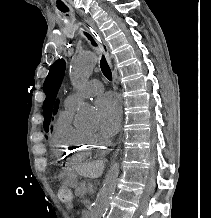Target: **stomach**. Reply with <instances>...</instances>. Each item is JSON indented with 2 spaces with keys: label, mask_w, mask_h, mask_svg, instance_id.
Here are the masks:
<instances>
[{
  "label": "stomach",
  "mask_w": 211,
  "mask_h": 218,
  "mask_svg": "<svg viewBox=\"0 0 211 218\" xmlns=\"http://www.w3.org/2000/svg\"><path fill=\"white\" fill-rule=\"evenodd\" d=\"M64 183L65 185L69 186V187H77L78 186V179H77V175L76 174H67L64 177Z\"/></svg>",
  "instance_id": "1"
}]
</instances>
